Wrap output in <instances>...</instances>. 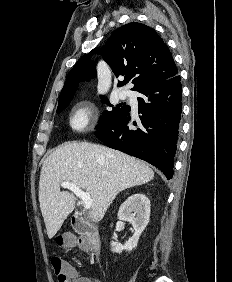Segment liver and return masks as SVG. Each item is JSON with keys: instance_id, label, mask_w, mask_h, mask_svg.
<instances>
[{"instance_id": "liver-1", "label": "liver", "mask_w": 232, "mask_h": 282, "mask_svg": "<svg viewBox=\"0 0 232 282\" xmlns=\"http://www.w3.org/2000/svg\"><path fill=\"white\" fill-rule=\"evenodd\" d=\"M154 177L144 162L99 144L70 142L54 150L44 161L39 181V202L49 239L74 210L75 198L60 191L68 181L88 192L92 215L99 221L117 194L145 184Z\"/></svg>"}]
</instances>
